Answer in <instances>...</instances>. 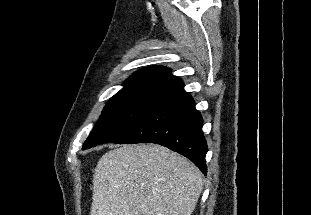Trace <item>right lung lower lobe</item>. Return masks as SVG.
<instances>
[{"mask_svg": "<svg viewBox=\"0 0 311 215\" xmlns=\"http://www.w3.org/2000/svg\"><path fill=\"white\" fill-rule=\"evenodd\" d=\"M203 119L191 95L178 80L161 100L124 135L111 143H156L190 159L205 175L208 151Z\"/></svg>", "mask_w": 311, "mask_h": 215, "instance_id": "98d812e1", "label": "right lung lower lobe"}]
</instances>
